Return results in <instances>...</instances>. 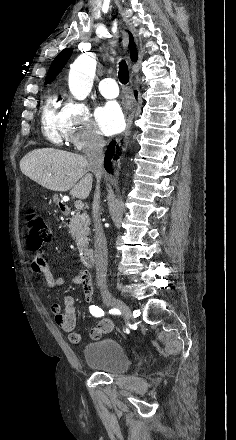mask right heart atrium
Returning a JSON list of instances; mask_svg holds the SVG:
<instances>
[{
  "mask_svg": "<svg viewBox=\"0 0 236 440\" xmlns=\"http://www.w3.org/2000/svg\"><path fill=\"white\" fill-rule=\"evenodd\" d=\"M62 114L67 144L83 152L95 151L102 147L104 140L90 109L85 104L68 99L63 104Z\"/></svg>",
  "mask_w": 236,
  "mask_h": 440,
  "instance_id": "1",
  "label": "right heart atrium"
}]
</instances>
